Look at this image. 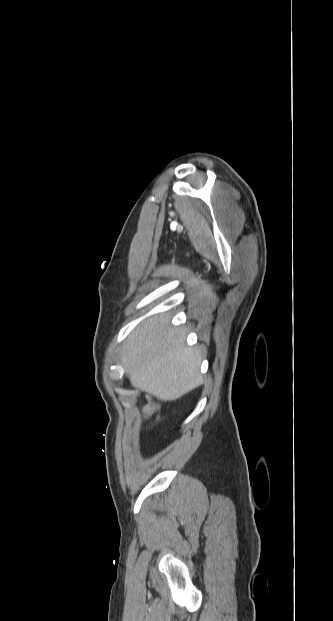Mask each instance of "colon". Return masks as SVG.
Wrapping results in <instances>:
<instances>
[{"mask_svg": "<svg viewBox=\"0 0 333 621\" xmlns=\"http://www.w3.org/2000/svg\"><path fill=\"white\" fill-rule=\"evenodd\" d=\"M145 422L147 424L156 423L159 419V406L156 402L151 401L147 404L145 411Z\"/></svg>", "mask_w": 333, "mask_h": 621, "instance_id": "1", "label": "colon"}]
</instances>
